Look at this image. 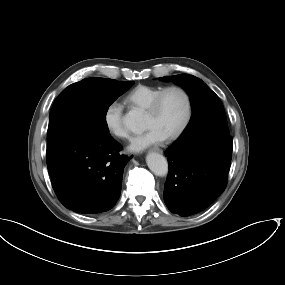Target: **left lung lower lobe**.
<instances>
[{
  "mask_svg": "<svg viewBox=\"0 0 285 285\" xmlns=\"http://www.w3.org/2000/svg\"><path fill=\"white\" fill-rule=\"evenodd\" d=\"M232 146L230 135L211 133L167 148L169 174L164 201L172 213L193 215L217 199L226 188Z\"/></svg>",
  "mask_w": 285,
  "mask_h": 285,
  "instance_id": "1",
  "label": "left lung lower lobe"
}]
</instances>
